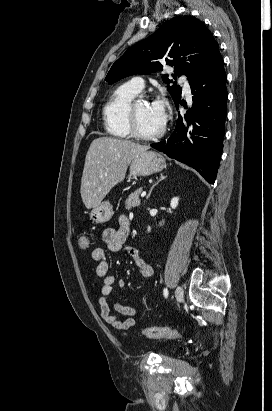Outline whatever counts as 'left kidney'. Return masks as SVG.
<instances>
[{"mask_svg": "<svg viewBox=\"0 0 272 411\" xmlns=\"http://www.w3.org/2000/svg\"><path fill=\"white\" fill-rule=\"evenodd\" d=\"M178 202H179V198L178 197H174L171 200L170 206L172 209H176V207L178 206ZM151 228L148 227V231L150 232Z\"/></svg>", "mask_w": 272, "mask_h": 411, "instance_id": "1", "label": "left kidney"}]
</instances>
